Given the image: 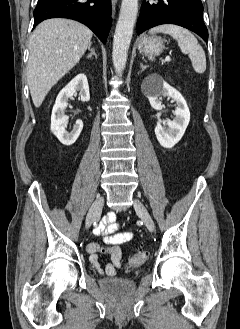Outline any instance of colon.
<instances>
[{"instance_id": "obj_1", "label": "colon", "mask_w": 240, "mask_h": 329, "mask_svg": "<svg viewBox=\"0 0 240 329\" xmlns=\"http://www.w3.org/2000/svg\"><path fill=\"white\" fill-rule=\"evenodd\" d=\"M146 253L145 252H138L133 255L128 261V268L135 269L140 267L146 260Z\"/></svg>"}]
</instances>
